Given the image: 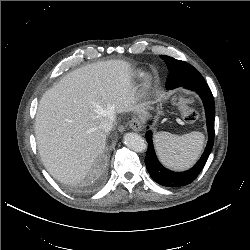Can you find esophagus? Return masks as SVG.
<instances>
[{
	"label": "esophagus",
	"instance_id": "esophagus-1",
	"mask_svg": "<svg viewBox=\"0 0 250 250\" xmlns=\"http://www.w3.org/2000/svg\"><path fill=\"white\" fill-rule=\"evenodd\" d=\"M129 126L130 128L133 130V131H141L142 130V123L140 122V120L138 118H132L130 121H129ZM123 128L120 127V131H122Z\"/></svg>",
	"mask_w": 250,
	"mask_h": 250
}]
</instances>
